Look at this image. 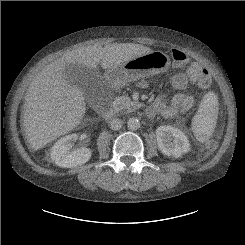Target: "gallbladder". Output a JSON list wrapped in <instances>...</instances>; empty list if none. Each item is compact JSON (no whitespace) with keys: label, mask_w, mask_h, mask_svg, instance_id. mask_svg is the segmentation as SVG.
Listing matches in <instances>:
<instances>
[{"label":"gallbladder","mask_w":245,"mask_h":245,"mask_svg":"<svg viewBox=\"0 0 245 245\" xmlns=\"http://www.w3.org/2000/svg\"><path fill=\"white\" fill-rule=\"evenodd\" d=\"M65 74L68 82L82 91L93 109L100 110L106 101H110V94L98 70L71 64L66 67Z\"/></svg>","instance_id":"1"}]
</instances>
